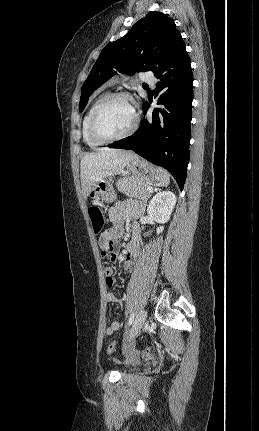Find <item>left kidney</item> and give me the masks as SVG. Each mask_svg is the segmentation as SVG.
Masks as SVG:
<instances>
[{
  "mask_svg": "<svg viewBox=\"0 0 259 431\" xmlns=\"http://www.w3.org/2000/svg\"><path fill=\"white\" fill-rule=\"evenodd\" d=\"M176 204V196L171 191L158 192L150 201L147 212L159 224L166 223ZM163 226L157 228L159 234L163 231Z\"/></svg>",
  "mask_w": 259,
  "mask_h": 431,
  "instance_id": "1",
  "label": "left kidney"
}]
</instances>
